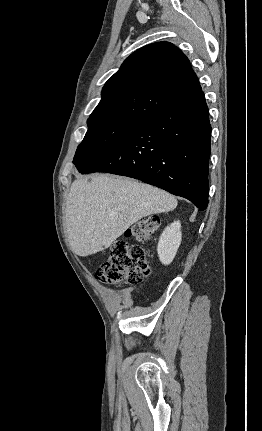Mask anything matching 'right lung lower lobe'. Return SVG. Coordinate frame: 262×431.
<instances>
[{
    "label": "right lung lower lobe",
    "instance_id": "98d812e1",
    "mask_svg": "<svg viewBox=\"0 0 262 431\" xmlns=\"http://www.w3.org/2000/svg\"><path fill=\"white\" fill-rule=\"evenodd\" d=\"M211 126L204 93L135 124L82 174L107 172L139 179L208 204Z\"/></svg>",
    "mask_w": 262,
    "mask_h": 431
}]
</instances>
